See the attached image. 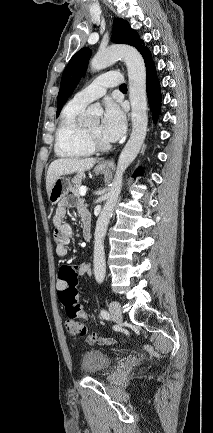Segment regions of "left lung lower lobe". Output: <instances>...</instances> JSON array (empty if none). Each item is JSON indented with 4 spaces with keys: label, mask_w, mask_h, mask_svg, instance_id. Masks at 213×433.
Instances as JSON below:
<instances>
[{
    "label": "left lung lower lobe",
    "mask_w": 213,
    "mask_h": 433,
    "mask_svg": "<svg viewBox=\"0 0 213 433\" xmlns=\"http://www.w3.org/2000/svg\"><path fill=\"white\" fill-rule=\"evenodd\" d=\"M145 65H146V74H147V95L149 100L150 109L152 111V117L154 122L157 121V118L160 114V105H161V94H160V84L156 75L155 65L151 58V53L148 50L143 55ZM141 174V168L137 169L135 175Z\"/></svg>",
    "instance_id": "left-lung-lower-lobe-1"
}]
</instances>
